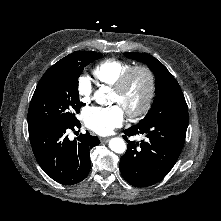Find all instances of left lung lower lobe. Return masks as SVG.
<instances>
[{
	"label": "left lung lower lobe",
	"mask_w": 221,
	"mask_h": 221,
	"mask_svg": "<svg viewBox=\"0 0 221 221\" xmlns=\"http://www.w3.org/2000/svg\"><path fill=\"white\" fill-rule=\"evenodd\" d=\"M188 107L182 96L171 114L159 121L138 124L124 131L127 151L120 159V171L125 180L137 187H146L162 180L176 163L185 142ZM144 134L140 143L127 136Z\"/></svg>",
	"instance_id": "1"
}]
</instances>
